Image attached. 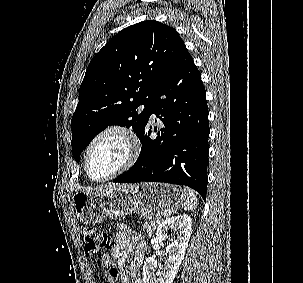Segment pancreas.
Here are the masks:
<instances>
[{"label": "pancreas", "instance_id": "pancreas-1", "mask_svg": "<svg viewBox=\"0 0 303 283\" xmlns=\"http://www.w3.org/2000/svg\"><path fill=\"white\" fill-rule=\"evenodd\" d=\"M153 223H154V221H148V222H145L143 224V229L146 230V233L149 236H151L154 233L155 229H156V225L153 224Z\"/></svg>", "mask_w": 303, "mask_h": 283}]
</instances>
